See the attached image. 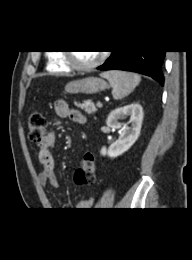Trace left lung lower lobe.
<instances>
[{
    "mask_svg": "<svg viewBox=\"0 0 192 260\" xmlns=\"http://www.w3.org/2000/svg\"><path fill=\"white\" fill-rule=\"evenodd\" d=\"M165 51H115L99 70H126L152 77L161 85L164 84L162 64Z\"/></svg>",
    "mask_w": 192,
    "mask_h": 260,
    "instance_id": "0a47b994",
    "label": "left lung lower lobe"
}]
</instances>
